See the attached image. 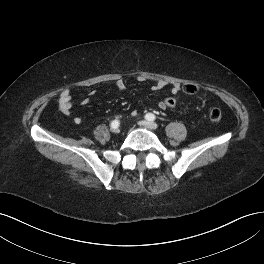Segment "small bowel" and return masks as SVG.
I'll return each mask as SVG.
<instances>
[{
    "instance_id": "c3829d8e",
    "label": "small bowel",
    "mask_w": 264,
    "mask_h": 264,
    "mask_svg": "<svg viewBox=\"0 0 264 264\" xmlns=\"http://www.w3.org/2000/svg\"><path fill=\"white\" fill-rule=\"evenodd\" d=\"M138 81L143 82V81H145V78L143 76H139ZM115 86L120 92H123L126 90V83L123 79H117L115 81ZM168 86H170V91L173 95H176L180 91V84L169 83L165 80L156 81L152 86V90L158 91V90H162ZM91 94H94V91H92ZM72 97H73L72 91L70 89H65L60 94L59 109H60V112L64 116H69L71 114V109H72V104H73ZM88 103H89L88 98H84L81 101L82 105H87ZM159 108L165 109V107L163 106V104L161 102L159 103ZM82 121H83V119L81 117H79V116L74 117V122L76 124H81Z\"/></svg>"
}]
</instances>
